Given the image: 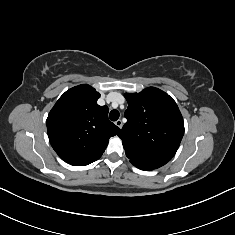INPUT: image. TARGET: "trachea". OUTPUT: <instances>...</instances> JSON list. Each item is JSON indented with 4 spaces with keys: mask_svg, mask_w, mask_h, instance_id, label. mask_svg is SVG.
I'll return each mask as SVG.
<instances>
[{
    "mask_svg": "<svg viewBox=\"0 0 235 235\" xmlns=\"http://www.w3.org/2000/svg\"><path fill=\"white\" fill-rule=\"evenodd\" d=\"M119 112L117 110H112L110 113H109V118L111 121H116L118 118H119Z\"/></svg>",
    "mask_w": 235,
    "mask_h": 235,
    "instance_id": "obj_1",
    "label": "trachea"
}]
</instances>
